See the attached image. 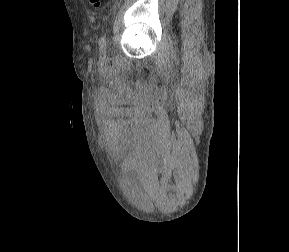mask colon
<instances>
[{"instance_id":"1","label":"colon","mask_w":289,"mask_h":252,"mask_svg":"<svg viewBox=\"0 0 289 252\" xmlns=\"http://www.w3.org/2000/svg\"><path fill=\"white\" fill-rule=\"evenodd\" d=\"M90 4L94 7H99L101 4V0H89Z\"/></svg>"}]
</instances>
